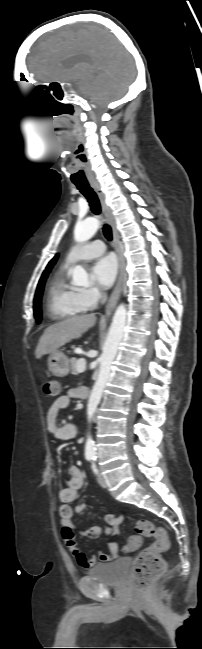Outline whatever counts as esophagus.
I'll list each match as a JSON object with an SVG mask.
<instances>
[{
    "mask_svg": "<svg viewBox=\"0 0 202 649\" xmlns=\"http://www.w3.org/2000/svg\"><path fill=\"white\" fill-rule=\"evenodd\" d=\"M90 185L94 189V191L97 193L98 198H99L100 203H101L103 213H104L105 217L107 218V220H108V222H109V224L111 226L112 234H113V241H114V245H115V250H116V253H117V256H118V261H119V276H118L117 284H116V286H115V288H114V290H113V292H112V294H111V296H110V298H109V300L107 302L106 308H105V314L108 316L113 312V310H114V308H115V306H116V304L118 302V299L120 297V293H121V290H122V282H123V277H124V263H123L122 253H121L120 247L118 245L119 235H118V231H117V228H116L115 219H114L111 208L109 207V205L106 202V196H105L100 184L97 181H90Z\"/></svg>",
    "mask_w": 202,
    "mask_h": 649,
    "instance_id": "1",
    "label": "esophagus"
}]
</instances>
